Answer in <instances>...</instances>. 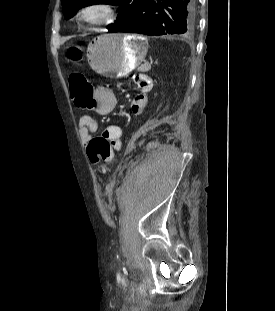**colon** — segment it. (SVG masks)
Listing matches in <instances>:
<instances>
[{"label": "colon", "mask_w": 275, "mask_h": 311, "mask_svg": "<svg viewBox=\"0 0 275 311\" xmlns=\"http://www.w3.org/2000/svg\"><path fill=\"white\" fill-rule=\"evenodd\" d=\"M67 57L70 61H79L82 57L81 49L77 46L70 47L67 50ZM70 89L72 99L77 107L85 108V105H92L95 99L94 88L84 75L72 74L70 76ZM139 100L143 101L144 99ZM112 146L113 141L105 135L95 137L89 142L87 146L88 158L99 171H105L110 166Z\"/></svg>", "instance_id": "obj_1"}]
</instances>
